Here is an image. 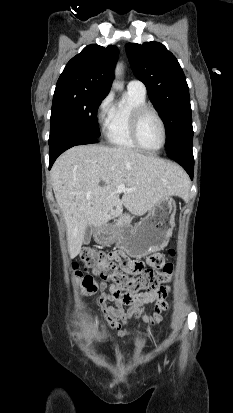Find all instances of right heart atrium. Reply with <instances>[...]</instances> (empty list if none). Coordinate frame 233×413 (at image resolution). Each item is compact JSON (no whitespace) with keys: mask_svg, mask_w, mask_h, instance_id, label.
Masks as SVG:
<instances>
[{"mask_svg":"<svg viewBox=\"0 0 233 413\" xmlns=\"http://www.w3.org/2000/svg\"><path fill=\"white\" fill-rule=\"evenodd\" d=\"M112 94H106L96 107V119L101 124H106L112 109Z\"/></svg>","mask_w":233,"mask_h":413,"instance_id":"right-heart-atrium-1","label":"right heart atrium"}]
</instances>
